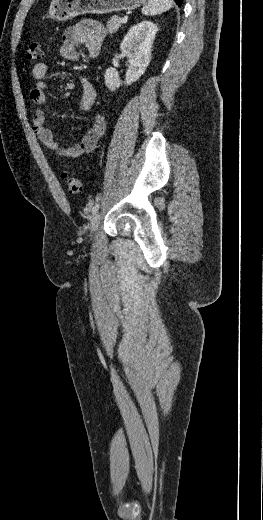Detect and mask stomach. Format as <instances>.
Listing matches in <instances>:
<instances>
[{"label": "stomach", "mask_w": 263, "mask_h": 520, "mask_svg": "<svg viewBox=\"0 0 263 520\" xmlns=\"http://www.w3.org/2000/svg\"><path fill=\"white\" fill-rule=\"evenodd\" d=\"M146 0H52L48 17L67 21L83 14H106L140 7Z\"/></svg>", "instance_id": "1"}]
</instances>
